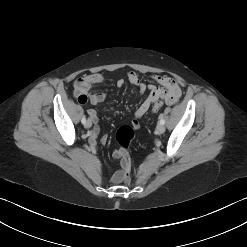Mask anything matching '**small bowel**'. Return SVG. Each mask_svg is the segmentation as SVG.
<instances>
[{"label": "small bowel", "mask_w": 247, "mask_h": 247, "mask_svg": "<svg viewBox=\"0 0 247 247\" xmlns=\"http://www.w3.org/2000/svg\"><path fill=\"white\" fill-rule=\"evenodd\" d=\"M153 79L156 81L157 85H147L134 72H130L128 74L129 83L135 86L141 94H144L146 91L149 92L147 97L136 109V118L143 117L147 113L151 105H153L159 99H163L168 105H173L179 100L181 96V89L174 79L164 75H154ZM103 81L104 76L99 73H91L78 78L74 83L75 98L81 104L90 102L93 105H97L99 103H102L107 97L106 93L90 92V89L93 85L99 84ZM116 84L118 87H122L125 84V81L124 79H119ZM88 115L90 119L96 124L98 120L97 112L94 109H89ZM97 134L98 128L96 126L95 129L91 132V137L96 138ZM100 141L104 144L107 143L108 136H101ZM114 156L116 158H119V155L116 151L114 152ZM112 180L113 182L118 183L121 180V171L117 172L113 176Z\"/></svg>", "instance_id": "small-bowel-1"}]
</instances>
